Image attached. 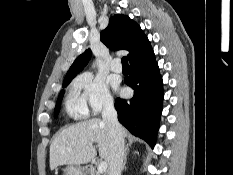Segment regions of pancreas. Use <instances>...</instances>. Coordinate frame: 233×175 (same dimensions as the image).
Returning <instances> with one entry per match:
<instances>
[{"mask_svg": "<svg viewBox=\"0 0 233 175\" xmlns=\"http://www.w3.org/2000/svg\"><path fill=\"white\" fill-rule=\"evenodd\" d=\"M91 175H100L98 172H93Z\"/></svg>", "mask_w": 233, "mask_h": 175, "instance_id": "cf45deb5", "label": "pancreas"}]
</instances>
